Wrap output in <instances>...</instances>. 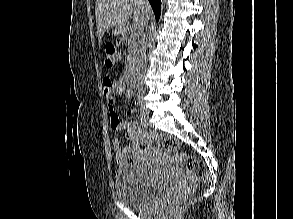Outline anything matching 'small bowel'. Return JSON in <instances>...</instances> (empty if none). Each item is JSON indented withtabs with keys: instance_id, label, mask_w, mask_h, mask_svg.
Listing matches in <instances>:
<instances>
[{
	"instance_id": "c3829d8e",
	"label": "small bowel",
	"mask_w": 293,
	"mask_h": 219,
	"mask_svg": "<svg viewBox=\"0 0 293 219\" xmlns=\"http://www.w3.org/2000/svg\"><path fill=\"white\" fill-rule=\"evenodd\" d=\"M105 97L108 104L110 113V126L113 131H126V139L128 142L124 145L121 144L118 138L113 140L114 152L119 164H127L136 161L142 151L141 147L148 144L150 141L149 136L145 132L143 126L136 121L122 120L115 112V96L124 93L128 99L133 98V91L127 88L125 77H121L116 81L109 78L103 80Z\"/></svg>"
}]
</instances>
